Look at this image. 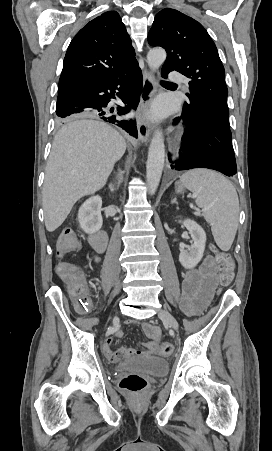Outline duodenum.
Listing matches in <instances>:
<instances>
[{
	"mask_svg": "<svg viewBox=\"0 0 272 451\" xmlns=\"http://www.w3.org/2000/svg\"><path fill=\"white\" fill-rule=\"evenodd\" d=\"M108 236L104 231H97L89 236L91 246L99 253L104 252L107 246Z\"/></svg>",
	"mask_w": 272,
	"mask_h": 451,
	"instance_id": "duodenum-1",
	"label": "duodenum"
}]
</instances>
